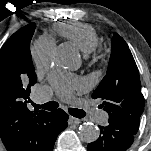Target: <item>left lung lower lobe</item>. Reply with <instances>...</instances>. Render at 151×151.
Returning a JSON list of instances; mask_svg holds the SVG:
<instances>
[{
    "mask_svg": "<svg viewBox=\"0 0 151 151\" xmlns=\"http://www.w3.org/2000/svg\"><path fill=\"white\" fill-rule=\"evenodd\" d=\"M100 128L101 136L93 143L88 144V151H126L134 141V135L118 125L109 122Z\"/></svg>",
    "mask_w": 151,
    "mask_h": 151,
    "instance_id": "obj_1",
    "label": "left lung lower lobe"
}]
</instances>
